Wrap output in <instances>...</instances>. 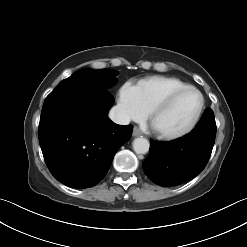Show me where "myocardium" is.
I'll return each mask as SVG.
<instances>
[{"label":"myocardium","instance_id":"myocardium-1","mask_svg":"<svg viewBox=\"0 0 247 247\" xmlns=\"http://www.w3.org/2000/svg\"><path fill=\"white\" fill-rule=\"evenodd\" d=\"M189 91L196 92L200 97L199 108H198L194 118L190 122V124L187 127H185L184 129H182L178 132H174V133L161 132V131H158L157 129H155L153 124H152V121L155 118V116L158 115L163 110H165L173 102V100L176 97H178V96H180L186 92H189ZM204 108H205V98H204V95L202 94V92L199 89H197L196 87L188 86L185 88H181V89L172 91L171 93H169L168 95L163 97L161 100H159L157 103H155L150 108V110L148 112V123H149L152 131L159 138L164 139V140H176V139H179V138H182V137L188 135L189 133H191L196 128V126L198 125V123L202 117Z\"/></svg>","mask_w":247,"mask_h":247}]
</instances>
